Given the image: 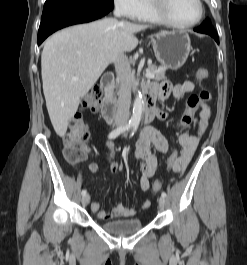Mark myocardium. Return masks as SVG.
<instances>
[{
  "label": "myocardium",
  "instance_id": "1",
  "mask_svg": "<svg viewBox=\"0 0 247 265\" xmlns=\"http://www.w3.org/2000/svg\"><path fill=\"white\" fill-rule=\"evenodd\" d=\"M168 0H149L150 8L154 15L164 24L178 29H187L201 22L205 14V7L202 0H197L199 14L197 18L189 23H179L175 21L168 12Z\"/></svg>",
  "mask_w": 247,
  "mask_h": 265
}]
</instances>
